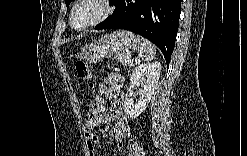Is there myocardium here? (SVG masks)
<instances>
[{"label":"myocardium","mask_w":247,"mask_h":156,"mask_svg":"<svg viewBox=\"0 0 247 156\" xmlns=\"http://www.w3.org/2000/svg\"><path fill=\"white\" fill-rule=\"evenodd\" d=\"M89 1L99 4L103 8L102 13L96 19H94L93 21H91L85 25H82V26L75 25L73 22V17H74V13H75L77 7L80 4H82L84 2H89ZM112 11H113L112 4L109 0H78L74 3V5L71 9V12L69 15V23H70L71 27L75 30H85V29L93 27V26L99 24L100 22H102L103 20H105L112 13Z\"/></svg>","instance_id":"f54148a6"}]
</instances>
